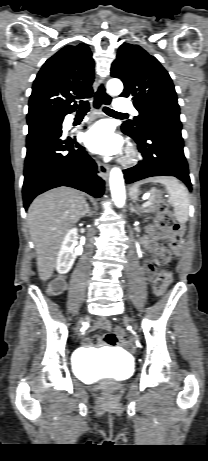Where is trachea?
<instances>
[{
    "instance_id": "trachea-1",
    "label": "trachea",
    "mask_w": 208,
    "mask_h": 461,
    "mask_svg": "<svg viewBox=\"0 0 208 461\" xmlns=\"http://www.w3.org/2000/svg\"><path fill=\"white\" fill-rule=\"evenodd\" d=\"M95 98H96V101H100V102H103L105 104L110 103V97L105 93V90H104L103 86L99 87L98 91L96 92ZM89 109H90V107H89V102L88 101H80L79 112H88ZM103 111L105 113L109 114V115L128 116L125 113H119V112H117V111H115L113 109H110L108 107H104Z\"/></svg>"
}]
</instances>
